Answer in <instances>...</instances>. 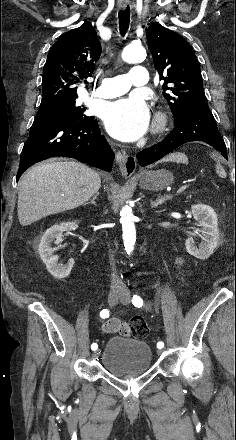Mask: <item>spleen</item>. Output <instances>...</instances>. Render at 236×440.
Segmentation results:
<instances>
[{
  "mask_svg": "<svg viewBox=\"0 0 236 440\" xmlns=\"http://www.w3.org/2000/svg\"><path fill=\"white\" fill-rule=\"evenodd\" d=\"M216 172L218 173V175H219L220 177H222V178H225V177H226V173H225L223 167H222L220 164H217V165H216Z\"/></svg>",
  "mask_w": 236,
  "mask_h": 440,
  "instance_id": "1",
  "label": "spleen"
}]
</instances>
